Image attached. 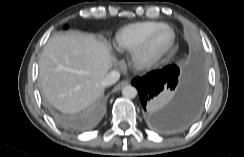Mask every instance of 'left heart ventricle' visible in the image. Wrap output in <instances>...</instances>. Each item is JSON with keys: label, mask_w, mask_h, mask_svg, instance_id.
<instances>
[{"label": "left heart ventricle", "mask_w": 244, "mask_h": 157, "mask_svg": "<svg viewBox=\"0 0 244 157\" xmlns=\"http://www.w3.org/2000/svg\"><path fill=\"white\" fill-rule=\"evenodd\" d=\"M170 38V33L167 30L162 31L155 39L153 48L162 46Z\"/></svg>", "instance_id": "obj_1"}]
</instances>
